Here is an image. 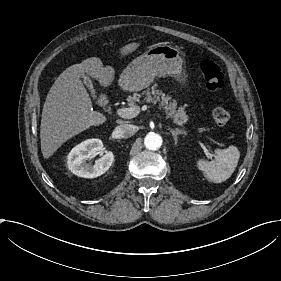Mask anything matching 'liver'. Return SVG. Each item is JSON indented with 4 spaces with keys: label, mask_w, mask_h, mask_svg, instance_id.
I'll return each instance as SVG.
<instances>
[{
    "label": "liver",
    "mask_w": 281,
    "mask_h": 281,
    "mask_svg": "<svg viewBox=\"0 0 281 281\" xmlns=\"http://www.w3.org/2000/svg\"><path fill=\"white\" fill-rule=\"evenodd\" d=\"M138 47V43H129L120 48V53L125 56ZM85 73L97 79L102 87L110 86L115 75L111 66L103 67L100 58L91 57L68 67L58 76L42 110L40 139L45 159L73 136L106 121L102 113L92 110L91 98L80 79Z\"/></svg>",
    "instance_id": "liver-1"
}]
</instances>
